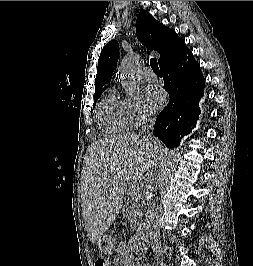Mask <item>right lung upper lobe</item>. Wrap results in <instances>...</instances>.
<instances>
[{"label":"right lung upper lobe","mask_w":253,"mask_h":266,"mask_svg":"<svg viewBox=\"0 0 253 266\" xmlns=\"http://www.w3.org/2000/svg\"><path fill=\"white\" fill-rule=\"evenodd\" d=\"M136 33L140 42L148 49L159 52L160 67L173 61L187 49L185 42L174 30L159 23L145 10L138 14ZM118 57V42L112 40L105 45L99 57L94 97L100 96L102 87L111 79Z\"/></svg>","instance_id":"cb5924a9"}]
</instances>
